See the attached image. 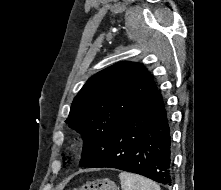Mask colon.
<instances>
[{
    "instance_id": "5ec220e1",
    "label": "colon",
    "mask_w": 221,
    "mask_h": 190,
    "mask_svg": "<svg viewBox=\"0 0 221 190\" xmlns=\"http://www.w3.org/2000/svg\"><path fill=\"white\" fill-rule=\"evenodd\" d=\"M72 190H117L112 180L107 178L88 181L80 187Z\"/></svg>"
}]
</instances>
